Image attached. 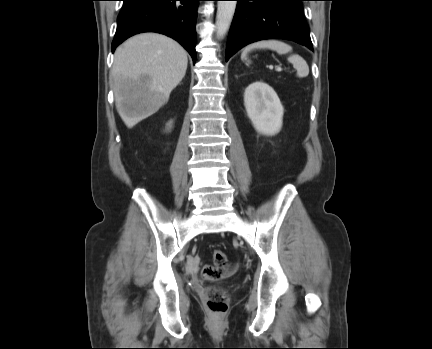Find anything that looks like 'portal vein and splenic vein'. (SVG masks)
I'll return each instance as SVG.
<instances>
[{
	"label": "portal vein and splenic vein",
	"instance_id": "portal-vein-and-splenic-vein-1",
	"mask_svg": "<svg viewBox=\"0 0 432 349\" xmlns=\"http://www.w3.org/2000/svg\"><path fill=\"white\" fill-rule=\"evenodd\" d=\"M269 68L272 69L273 66H270ZM275 69H276V71H278V72H281V71H282V68H281L280 66L275 67Z\"/></svg>",
	"mask_w": 432,
	"mask_h": 349
}]
</instances>
